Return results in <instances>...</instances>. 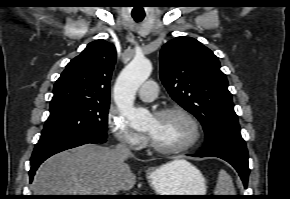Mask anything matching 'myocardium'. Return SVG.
Wrapping results in <instances>:
<instances>
[{
  "label": "myocardium",
  "mask_w": 290,
  "mask_h": 199,
  "mask_svg": "<svg viewBox=\"0 0 290 199\" xmlns=\"http://www.w3.org/2000/svg\"><path fill=\"white\" fill-rule=\"evenodd\" d=\"M168 115H180L182 116L185 120L188 121V123L191 125L192 130H193V136L192 139L190 140L189 143L186 145L179 147V148H172V149H167L158 146L155 142L151 140V138L147 135V142L149 147L163 155H171V156H176V155H181V154H186L192 149H194L199 142L201 141L202 138V129L200 126V123L198 120L186 109L182 107H168V108H163L154 113L155 117H164Z\"/></svg>",
  "instance_id": "f54148a6"
}]
</instances>
